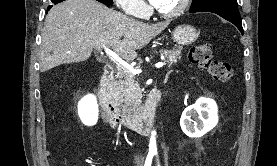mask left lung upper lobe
<instances>
[{"label": "left lung upper lobe", "instance_id": "5c2ea615", "mask_svg": "<svg viewBox=\"0 0 277 166\" xmlns=\"http://www.w3.org/2000/svg\"><path fill=\"white\" fill-rule=\"evenodd\" d=\"M210 6L238 7L237 0H193L190 12Z\"/></svg>", "mask_w": 277, "mask_h": 166}]
</instances>
